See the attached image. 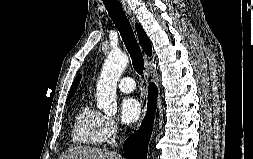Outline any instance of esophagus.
Wrapping results in <instances>:
<instances>
[{"label":"esophagus","mask_w":253,"mask_h":159,"mask_svg":"<svg viewBox=\"0 0 253 159\" xmlns=\"http://www.w3.org/2000/svg\"><path fill=\"white\" fill-rule=\"evenodd\" d=\"M122 5H123V8L125 10V12L131 16V10L128 6V4L124 1V0H120ZM144 80L146 82V84L148 85V81H149V63H148V59L146 57V67H145V71H144ZM144 111H146V105L144 107Z\"/></svg>","instance_id":"34e87169"}]
</instances>
